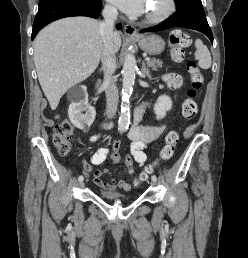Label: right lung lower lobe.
<instances>
[{"label":"right lung lower lobe","instance_id":"right-lung-lower-lobe-1","mask_svg":"<svg viewBox=\"0 0 248 258\" xmlns=\"http://www.w3.org/2000/svg\"><path fill=\"white\" fill-rule=\"evenodd\" d=\"M101 6L102 0H43L33 23L32 40L52 21L70 16L98 18ZM117 28L121 29V24Z\"/></svg>","mask_w":248,"mask_h":258}]
</instances>
